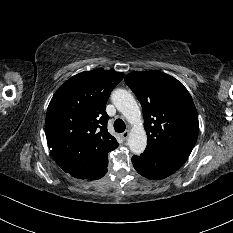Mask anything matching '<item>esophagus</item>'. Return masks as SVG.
I'll use <instances>...</instances> for the list:
<instances>
[{"label": "esophagus", "instance_id": "obj_1", "mask_svg": "<svg viewBox=\"0 0 233 233\" xmlns=\"http://www.w3.org/2000/svg\"><path fill=\"white\" fill-rule=\"evenodd\" d=\"M129 134H130L129 130L124 131V132L121 134L122 139H123V140H127V138L129 137Z\"/></svg>", "mask_w": 233, "mask_h": 233}]
</instances>
